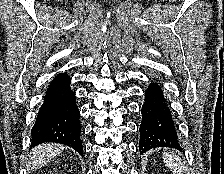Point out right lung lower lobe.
<instances>
[{"label": "right lung lower lobe", "instance_id": "1", "mask_svg": "<svg viewBox=\"0 0 224 174\" xmlns=\"http://www.w3.org/2000/svg\"><path fill=\"white\" fill-rule=\"evenodd\" d=\"M70 82L67 73L52 80L31 130L30 148L44 142H56L72 147L83 156L80 112Z\"/></svg>", "mask_w": 224, "mask_h": 174}]
</instances>
